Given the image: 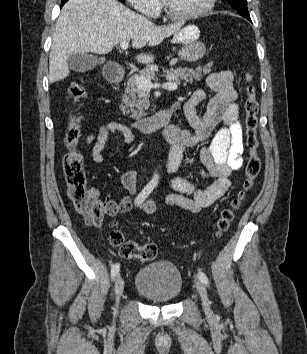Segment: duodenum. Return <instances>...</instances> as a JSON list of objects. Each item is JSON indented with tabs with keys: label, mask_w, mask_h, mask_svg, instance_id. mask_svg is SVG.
I'll return each instance as SVG.
<instances>
[{
	"label": "duodenum",
	"mask_w": 307,
	"mask_h": 354,
	"mask_svg": "<svg viewBox=\"0 0 307 354\" xmlns=\"http://www.w3.org/2000/svg\"><path fill=\"white\" fill-rule=\"evenodd\" d=\"M106 77L111 83H120L125 77L124 69L120 66L109 67ZM173 115V110L159 111L151 116L133 122L130 127L140 133H149L161 127L167 126Z\"/></svg>",
	"instance_id": "1"
}]
</instances>
